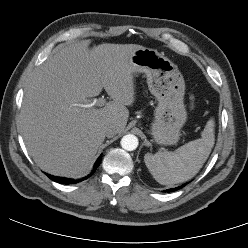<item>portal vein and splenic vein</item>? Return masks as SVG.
Listing matches in <instances>:
<instances>
[{
	"label": "portal vein and splenic vein",
	"mask_w": 248,
	"mask_h": 248,
	"mask_svg": "<svg viewBox=\"0 0 248 248\" xmlns=\"http://www.w3.org/2000/svg\"><path fill=\"white\" fill-rule=\"evenodd\" d=\"M105 103H106V101H105L104 98H99L96 101H93V102L88 103V104H80L79 106L82 107V108H93L95 106L102 107V106L105 105Z\"/></svg>",
	"instance_id": "portal-vein-and-splenic-vein-1"
}]
</instances>
